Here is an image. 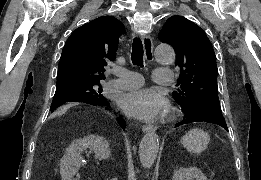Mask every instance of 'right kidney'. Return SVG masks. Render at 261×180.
I'll return each mask as SVG.
<instances>
[{"instance_id":"1","label":"right kidney","mask_w":261,"mask_h":180,"mask_svg":"<svg viewBox=\"0 0 261 180\" xmlns=\"http://www.w3.org/2000/svg\"><path fill=\"white\" fill-rule=\"evenodd\" d=\"M89 150L90 154H95L98 160H107L110 156L109 144L105 138L101 136H86L80 140L71 142L65 156L60 160V174L62 180H70L74 174L71 166H80L83 150Z\"/></svg>"}]
</instances>
